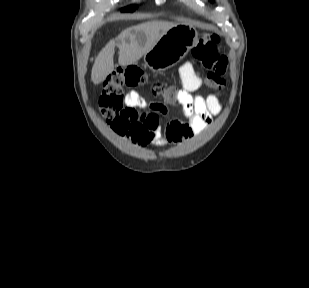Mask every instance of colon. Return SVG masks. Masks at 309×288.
<instances>
[{
	"label": "colon",
	"instance_id": "colon-1",
	"mask_svg": "<svg viewBox=\"0 0 309 288\" xmlns=\"http://www.w3.org/2000/svg\"><path fill=\"white\" fill-rule=\"evenodd\" d=\"M195 64L205 72L204 82L213 89H222L226 83L228 61L221 53L216 35H203L190 51ZM148 81L146 73L137 66L120 67L108 74L103 82L99 100L102 116L112 123L127 119L132 110L124 104L125 88L137 87ZM153 93L173 101L176 91L168 84L158 81L152 86Z\"/></svg>",
	"mask_w": 309,
	"mask_h": 288
}]
</instances>
